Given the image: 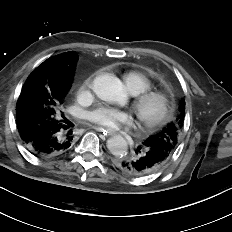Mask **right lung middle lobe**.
Segmentation results:
<instances>
[{
	"label": "right lung middle lobe",
	"instance_id": "1",
	"mask_svg": "<svg viewBox=\"0 0 232 232\" xmlns=\"http://www.w3.org/2000/svg\"><path fill=\"white\" fill-rule=\"evenodd\" d=\"M70 86L67 73L52 72L47 67L30 75L16 106V116L24 120L26 131L38 126L52 129L67 120L61 105Z\"/></svg>",
	"mask_w": 232,
	"mask_h": 232
}]
</instances>
